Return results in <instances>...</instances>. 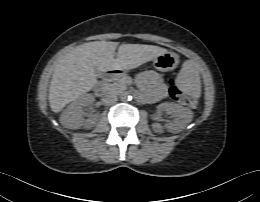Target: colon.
<instances>
[{
	"instance_id": "5ec220e1",
	"label": "colon",
	"mask_w": 260,
	"mask_h": 202,
	"mask_svg": "<svg viewBox=\"0 0 260 202\" xmlns=\"http://www.w3.org/2000/svg\"><path fill=\"white\" fill-rule=\"evenodd\" d=\"M170 95L172 98L189 107H195L198 104V98L196 96L189 95L182 91L174 81H171Z\"/></svg>"
}]
</instances>
